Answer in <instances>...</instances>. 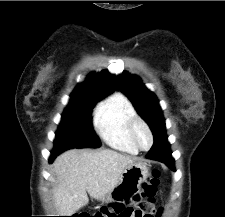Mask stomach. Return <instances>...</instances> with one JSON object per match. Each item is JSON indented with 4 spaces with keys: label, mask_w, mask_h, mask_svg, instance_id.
I'll return each mask as SVG.
<instances>
[{
    "label": "stomach",
    "mask_w": 225,
    "mask_h": 217,
    "mask_svg": "<svg viewBox=\"0 0 225 217\" xmlns=\"http://www.w3.org/2000/svg\"><path fill=\"white\" fill-rule=\"evenodd\" d=\"M148 177V170L146 166L141 162H134L133 164L128 165L123 170L119 182L115 189L119 187H136L141 185ZM114 190L108 194L103 202H110L112 200V195Z\"/></svg>",
    "instance_id": "1"
}]
</instances>
